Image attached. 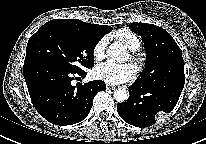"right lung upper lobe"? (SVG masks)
<instances>
[{
  "instance_id": "1",
  "label": "right lung upper lobe",
  "mask_w": 206,
  "mask_h": 144,
  "mask_svg": "<svg viewBox=\"0 0 206 144\" xmlns=\"http://www.w3.org/2000/svg\"><path fill=\"white\" fill-rule=\"evenodd\" d=\"M51 21H58L69 25H73L75 27H78L100 37H103L105 34L109 33L113 29L112 27L107 25L90 24L85 23L81 20L74 19H54Z\"/></svg>"
}]
</instances>
